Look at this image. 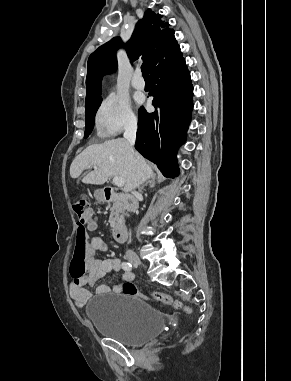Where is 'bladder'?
<instances>
[{
	"label": "bladder",
	"instance_id": "obj_1",
	"mask_svg": "<svg viewBox=\"0 0 291 381\" xmlns=\"http://www.w3.org/2000/svg\"><path fill=\"white\" fill-rule=\"evenodd\" d=\"M86 315L99 334L130 346L151 341L165 328L164 317L148 302L121 293L91 297Z\"/></svg>",
	"mask_w": 291,
	"mask_h": 381
}]
</instances>
